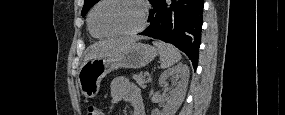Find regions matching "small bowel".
<instances>
[{
  "instance_id": "1",
  "label": "small bowel",
  "mask_w": 285,
  "mask_h": 115,
  "mask_svg": "<svg viewBox=\"0 0 285 115\" xmlns=\"http://www.w3.org/2000/svg\"><path fill=\"white\" fill-rule=\"evenodd\" d=\"M112 103L115 105L121 101L132 106L133 115H145V108L139 88L125 77L112 80L110 85Z\"/></svg>"
}]
</instances>
